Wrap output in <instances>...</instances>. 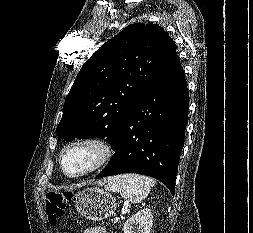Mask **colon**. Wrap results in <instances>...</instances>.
I'll list each match as a JSON object with an SVG mask.
<instances>
[{"instance_id":"colon-1","label":"colon","mask_w":253,"mask_h":233,"mask_svg":"<svg viewBox=\"0 0 253 233\" xmlns=\"http://www.w3.org/2000/svg\"><path fill=\"white\" fill-rule=\"evenodd\" d=\"M71 199V193H62L55 190H51L47 193L46 213L51 224H55L64 216Z\"/></svg>"}]
</instances>
